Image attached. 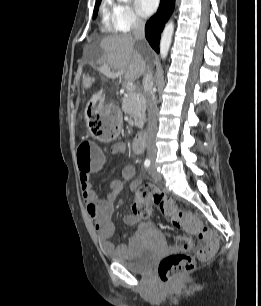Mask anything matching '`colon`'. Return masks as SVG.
<instances>
[{
  "label": "colon",
  "instance_id": "1",
  "mask_svg": "<svg viewBox=\"0 0 261 306\" xmlns=\"http://www.w3.org/2000/svg\"><path fill=\"white\" fill-rule=\"evenodd\" d=\"M113 110L116 109L113 108ZM119 127L118 115L108 123H97L92 127L95 137L103 141H111L117 135ZM105 156L101 150L93 147L89 141H82L77 146V162L81 171L90 170L103 162ZM152 204H157L162 213L170 220L173 226L182 229L186 234L176 239L177 252L164 257L158 265L159 278L166 283L174 282L179 276L190 272L195 267V257L187 252L195 246V236L204 240L205 245L198 251L200 260L208 259L217 249L219 237L215 232L202 225L200 220L191 213L176 208L174 202L160 193L154 185H143L133 205V211L141 219L152 215Z\"/></svg>",
  "mask_w": 261,
  "mask_h": 306
}]
</instances>
